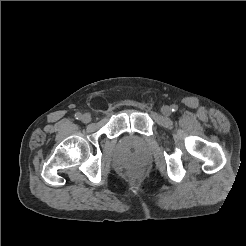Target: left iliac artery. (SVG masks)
I'll list each match as a JSON object with an SVG mask.
<instances>
[{"instance_id": "obj_1", "label": "left iliac artery", "mask_w": 246, "mask_h": 246, "mask_svg": "<svg viewBox=\"0 0 246 246\" xmlns=\"http://www.w3.org/2000/svg\"><path fill=\"white\" fill-rule=\"evenodd\" d=\"M171 108H172V111H173V112H176V111H177V109H178L177 105H172V107H171Z\"/></svg>"}]
</instances>
